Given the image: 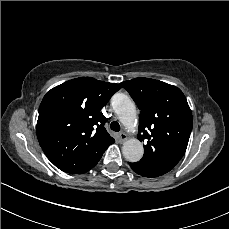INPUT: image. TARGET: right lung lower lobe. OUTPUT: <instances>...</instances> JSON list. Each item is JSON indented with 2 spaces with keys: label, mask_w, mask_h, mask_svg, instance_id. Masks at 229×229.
Instances as JSON below:
<instances>
[{
  "label": "right lung lower lobe",
  "mask_w": 229,
  "mask_h": 229,
  "mask_svg": "<svg viewBox=\"0 0 229 229\" xmlns=\"http://www.w3.org/2000/svg\"><path fill=\"white\" fill-rule=\"evenodd\" d=\"M101 157H102V156H101ZM101 157H100V158H101ZM100 158H99L98 160H96L95 163H94L90 168L87 169V171L90 170L91 168H93V167L97 164V162L100 160ZM87 171H86V172H87Z\"/></svg>",
  "instance_id": "right-lung-lower-lobe-1"
}]
</instances>
